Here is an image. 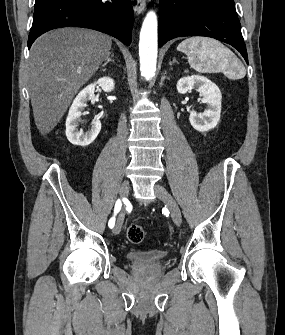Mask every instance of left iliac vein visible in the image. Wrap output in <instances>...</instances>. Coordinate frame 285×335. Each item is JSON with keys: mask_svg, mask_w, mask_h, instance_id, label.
Here are the masks:
<instances>
[{"mask_svg": "<svg viewBox=\"0 0 285 335\" xmlns=\"http://www.w3.org/2000/svg\"><path fill=\"white\" fill-rule=\"evenodd\" d=\"M154 191L158 198L162 200L170 210L171 217L175 224L180 225L181 211L172 195L166 190L164 186L158 184L154 186Z\"/></svg>", "mask_w": 285, "mask_h": 335, "instance_id": "obj_1", "label": "left iliac vein"}]
</instances>
